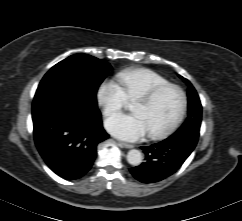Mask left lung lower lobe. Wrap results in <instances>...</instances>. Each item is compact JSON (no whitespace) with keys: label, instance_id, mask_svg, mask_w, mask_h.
I'll return each instance as SVG.
<instances>
[{"label":"left lung lower lobe","instance_id":"1","mask_svg":"<svg viewBox=\"0 0 242 221\" xmlns=\"http://www.w3.org/2000/svg\"><path fill=\"white\" fill-rule=\"evenodd\" d=\"M199 134H173L162 142L141 147L145 162L130 168L135 179L142 183L159 182L174 174L194 150Z\"/></svg>","mask_w":242,"mask_h":221}]
</instances>
